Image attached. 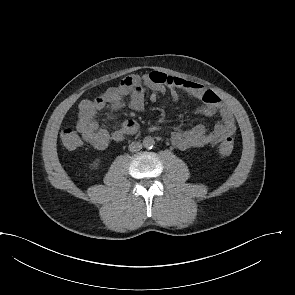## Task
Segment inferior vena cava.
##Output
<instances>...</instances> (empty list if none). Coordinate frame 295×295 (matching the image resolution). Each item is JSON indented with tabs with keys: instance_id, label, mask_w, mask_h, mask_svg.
<instances>
[{
	"instance_id": "602c4592",
	"label": "inferior vena cava",
	"mask_w": 295,
	"mask_h": 295,
	"mask_svg": "<svg viewBox=\"0 0 295 295\" xmlns=\"http://www.w3.org/2000/svg\"><path fill=\"white\" fill-rule=\"evenodd\" d=\"M142 149V144L139 143V142H132L130 145H129V150L131 152H137V151H140Z\"/></svg>"
}]
</instances>
